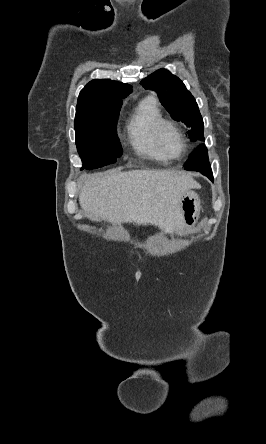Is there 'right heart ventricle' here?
Listing matches in <instances>:
<instances>
[{
    "label": "right heart ventricle",
    "mask_w": 266,
    "mask_h": 444,
    "mask_svg": "<svg viewBox=\"0 0 266 444\" xmlns=\"http://www.w3.org/2000/svg\"><path fill=\"white\" fill-rule=\"evenodd\" d=\"M163 119V113L154 97H146L136 105L127 120L126 133L137 154L155 160L167 159L155 142V128Z\"/></svg>",
    "instance_id": "obj_1"
}]
</instances>
